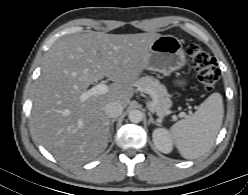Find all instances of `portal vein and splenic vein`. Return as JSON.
Listing matches in <instances>:
<instances>
[{"instance_id": "portal-vein-and-splenic-vein-1", "label": "portal vein and splenic vein", "mask_w": 248, "mask_h": 195, "mask_svg": "<svg viewBox=\"0 0 248 195\" xmlns=\"http://www.w3.org/2000/svg\"><path fill=\"white\" fill-rule=\"evenodd\" d=\"M109 90V86L103 83L97 84L96 86L86 90L80 95V99L82 101L87 100L90 97L101 95L107 93ZM184 116V114H182Z\"/></svg>"}]
</instances>
